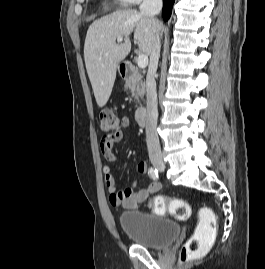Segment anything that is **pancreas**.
<instances>
[{
  "label": "pancreas",
  "mask_w": 265,
  "mask_h": 269,
  "mask_svg": "<svg viewBox=\"0 0 265 269\" xmlns=\"http://www.w3.org/2000/svg\"><path fill=\"white\" fill-rule=\"evenodd\" d=\"M126 88L131 90L132 96L137 102L139 101V98H143L145 93L144 82L137 70L134 71L132 78L126 83Z\"/></svg>",
  "instance_id": "cf45deb5"
}]
</instances>
